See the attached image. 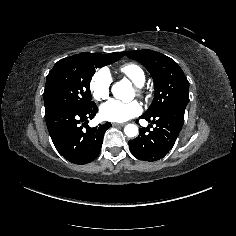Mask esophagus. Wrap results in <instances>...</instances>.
<instances>
[{"mask_svg":"<svg viewBox=\"0 0 236 236\" xmlns=\"http://www.w3.org/2000/svg\"><path fill=\"white\" fill-rule=\"evenodd\" d=\"M126 123H112L113 126H124Z\"/></svg>","mask_w":236,"mask_h":236,"instance_id":"esophagus-1","label":"esophagus"}]
</instances>
